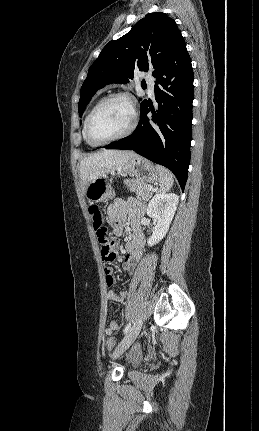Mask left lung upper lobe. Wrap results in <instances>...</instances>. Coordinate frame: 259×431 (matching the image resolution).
Listing matches in <instances>:
<instances>
[{
	"label": "left lung upper lobe",
	"mask_w": 259,
	"mask_h": 431,
	"mask_svg": "<svg viewBox=\"0 0 259 431\" xmlns=\"http://www.w3.org/2000/svg\"><path fill=\"white\" fill-rule=\"evenodd\" d=\"M182 39L175 21L165 13L156 12L138 21L118 40L108 42L81 87L80 117L91 97L107 84L127 83L138 69L152 70L155 76Z\"/></svg>",
	"instance_id": "left-lung-upper-lobe-1"
}]
</instances>
